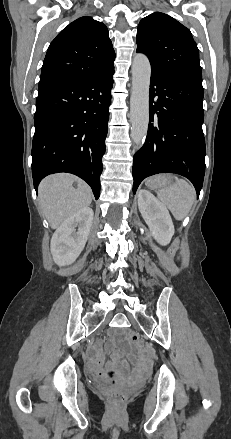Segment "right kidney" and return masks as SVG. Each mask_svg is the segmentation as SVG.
<instances>
[{"label":"right kidney","mask_w":231,"mask_h":439,"mask_svg":"<svg viewBox=\"0 0 231 439\" xmlns=\"http://www.w3.org/2000/svg\"><path fill=\"white\" fill-rule=\"evenodd\" d=\"M93 214L91 208H83L57 228L50 244L53 260L57 265H69L80 255L87 242Z\"/></svg>","instance_id":"1"}]
</instances>
